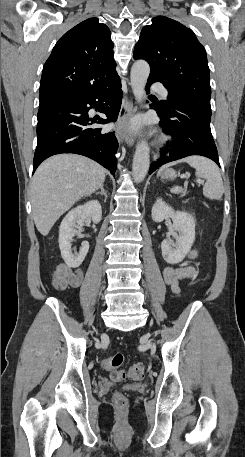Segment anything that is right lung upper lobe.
<instances>
[{
  "mask_svg": "<svg viewBox=\"0 0 245 457\" xmlns=\"http://www.w3.org/2000/svg\"><path fill=\"white\" fill-rule=\"evenodd\" d=\"M109 28L89 18L65 33L46 61L40 83V106L86 92L118 77Z\"/></svg>",
  "mask_w": 245,
  "mask_h": 457,
  "instance_id": "right-lung-upper-lobe-1",
  "label": "right lung upper lobe"
}]
</instances>
